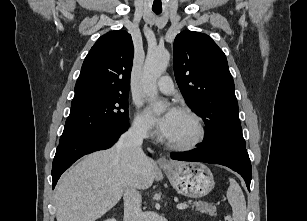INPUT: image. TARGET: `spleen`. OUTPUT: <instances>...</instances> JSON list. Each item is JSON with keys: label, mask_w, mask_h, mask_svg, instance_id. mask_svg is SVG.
Listing matches in <instances>:
<instances>
[{"label": "spleen", "mask_w": 307, "mask_h": 221, "mask_svg": "<svg viewBox=\"0 0 307 221\" xmlns=\"http://www.w3.org/2000/svg\"><path fill=\"white\" fill-rule=\"evenodd\" d=\"M229 182L227 198L232 207L233 219L234 221H245L247 210L244 194L239 184L233 178H229Z\"/></svg>", "instance_id": "3e777b00"}]
</instances>
